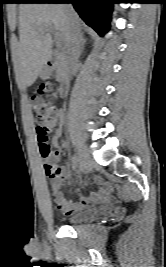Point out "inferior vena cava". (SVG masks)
Here are the masks:
<instances>
[{
  "instance_id": "obj_1",
  "label": "inferior vena cava",
  "mask_w": 166,
  "mask_h": 267,
  "mask_svg": "<svg viewBox=\"0 0 166 267\" xmlns=\"http://www.w3.org/2000/svg\"><path fill=\"white\" fill-rule=\"evenodd\" d=\"M63 7L68 16L67 48L69 60L72 66L73 73H76V66L82 49L81 25L76 18V13L72 5L64 4Z\"/></svg>"
}]
</instances>
